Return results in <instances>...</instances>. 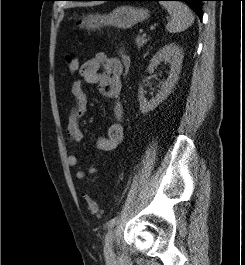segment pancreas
I'll list each match as a JSON object with an SVG mask.
<instances>
[{"mask_svg":"<svg viewBox=\"0 0 245 265\" xmlns=\"http://www.w3.org/2000/svg\"><path fill=\"white\" fill-rule=\"evenodd\" d=\"M148 39H146L144 36L138 35L135 39V44L138 48L143 47L144 44H146Z\"/></svg>","mask_w":245,"mask_h":265,"instance_id":"cf45deb5","label":"pancreas"}]
</instances>
